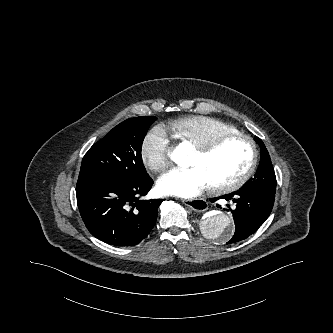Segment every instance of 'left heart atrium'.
<instances>
[{
	"instance_id": "left-heart-atrium-1",
	"label": "left heart atrium",
	"mask_w": 333,
	"mask_h": 333,
	"mask_svg": "<svg viewBox=\"0 0 333 333\" xmlns=\"http://www.w3.org/2000/svg\"><path fill=\"white\" fill-rule=\"evenodd\" d=\"M210 186L205 173L196 166L171 169L158 180V188L162 193L183 198L195 197Z\"/></svg>"
}]
</instances>
